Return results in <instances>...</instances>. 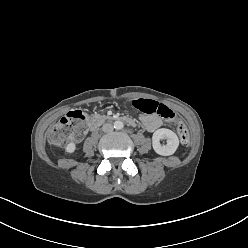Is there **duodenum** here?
<instances>
[{
    "mask_svg": "<svg viewBox=\"0 0 248 248\" xmlns=\"http://www.w3.org/2000/svg\"><path fill=\"white\" fill-rule=\"evenodd\" d=\"M107 119H108V117L107 118L100 117V118H96V119L91 120L89 122L90 130H95L102 122L106 121ZM119 120H122L123 122H125V123H127L128 125H131V126H134V124H135L134 121L132 119H130V118L121 117V118H119Z\"/></svg>",
    "mask_w": 248,
    "mask_h": 248,
    "instance_id": "1",
    "label": "duodenum"
}]
</instances>
